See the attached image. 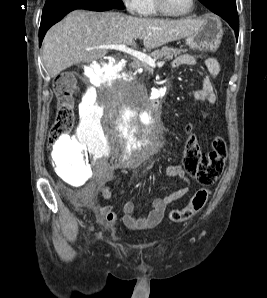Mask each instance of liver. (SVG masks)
Segmentation results:
<instances>
[{"mask_svg":"<svg viewBox=\"0 0 267 298\" xmlns=\"http://www.w3.org/2000/svg\"><path fill=\"white\" fill-rule=\"evenodd\" d=\"M202 25V20L192 18L151 19L119 12L75 10L46 33L43 60L48 74L56 77L72 65L93 62L108 53V49H96L97 46H135V40L142 39L144 47L153 49L192 35Z\"/></svg>","mask_w":267,"mask_h":298,"instance_id":"obj_1","label":"liver"}]
</instances>
